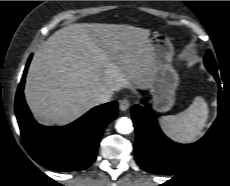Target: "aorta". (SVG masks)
I'll return each mask as SVG.
<instances>
[{
	"instance_id": "aorta-1",
	"label": "aorta",
	"mask_w": 230,
	"mask_h": 186,
	"mask_svg": "<svg viewBox=\"0 0 230 186\" xmlns=\"http://www.w3.org/2000/svg\"><path fill=\"white\" fill-rule=\"evenodd\" d=\"M116 130L120 134H129L133 130L132 121L127 117H121L116 122Z\"/></svg>"
}]
</instances>
